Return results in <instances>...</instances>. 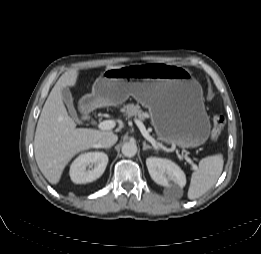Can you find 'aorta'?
<instances>
[{
  "label": "aorta",
  "mask_w": 261,
  "mask_h": 254,
  "mask_svg": "<svg viewBox=\"0 0 261 254\" xmlns=\"http://www.w3.org/2000/svg\"><path fill=\"white\" fill-rule=\"evenodd\" d=\"M121 151L124 156L133 157L137 153V145L133 142L124 143Z\"/></svg>",
  "instance_id": "762f6f07"
}]
</instances>
